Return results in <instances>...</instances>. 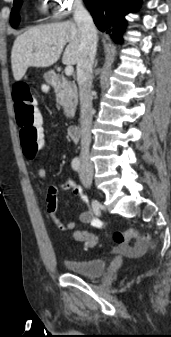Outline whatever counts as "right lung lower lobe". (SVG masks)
<instances>
[{
    "label": "right lung lower lobe",
    "mask_w": 171,
    "mask_h": 337,
    "mask_svg": "<svg viewBox=\"0 0 171 337\" xmlns=\"http://www.w3.org/2000/svg\"><path fill=\"white\" fill-rule=\"evenodd\" d=\"M96 26L120 43L126 24L125 15L137 11L141 0H84Z\"/></svg>",
    "instance_id": "98d812e1"
}]
</instances>
